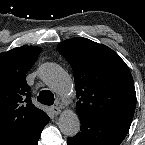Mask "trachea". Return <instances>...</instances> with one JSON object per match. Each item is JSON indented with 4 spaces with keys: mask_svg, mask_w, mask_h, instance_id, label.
Segmentation results:
<instances>
[{
    "mask_svg": "<svg viewBox=\"0 0 145 145\" xmlns=\"http://www.w3.org/2000/svg\"><path fill=\"white\" fill-rule=\"evenodd\" d=\"M37 100L44 105L50 106L54 103V95L49 90H43L40 92L39 96L37 97Z\"/></svg>",
    "mask_w": 145,
    "mask_h": 145,
    "instance_id": "3493384b",
    "label": "trachea"
}]
</instances>
